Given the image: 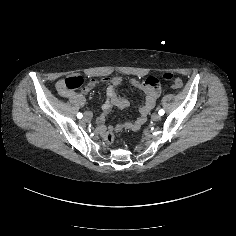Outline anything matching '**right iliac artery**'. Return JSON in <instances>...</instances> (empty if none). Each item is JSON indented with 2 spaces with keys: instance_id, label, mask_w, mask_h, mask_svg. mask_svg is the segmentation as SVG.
Wrapping results in <instances>:
<instances>
[{
  "instance_id": "right-iliac-artery-1",
  "label": "right iliac artery",
  "mask_w": 236,
  "mask_h": 236,
  "mask_svg": "<svg viewBox=\"0 0 236 236\" xmlns=\"http://www.w3.org/2000/svg\"><path fill=\"white\" fill-rule=\"evenodd\" d=\"M83 117L82 113L77 114V118L81 119Z\"/></svg>"
}]
</instances>
